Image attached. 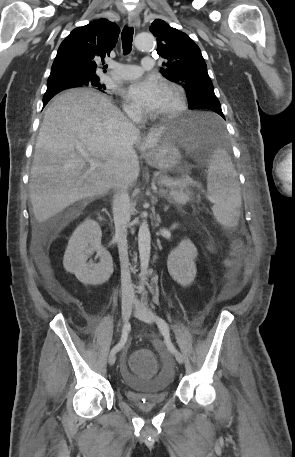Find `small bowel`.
<instances>
[{"instance_id":"small-bowel-1","label":"small bowel","mask_w":295,"mask_h":457,"mask_svg":"<svg viewBox=\"0 0 295 457\" xmlns=\"http://www.w3.org/2000/svg\"><path fill=\"white\" fill-rule=\"evenodd\" d=\"M210 248V246H208ZM240 290V286L236 282H229L226 287L227 296H234Z\"/></svg>"}]
</instances>
